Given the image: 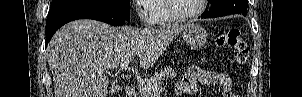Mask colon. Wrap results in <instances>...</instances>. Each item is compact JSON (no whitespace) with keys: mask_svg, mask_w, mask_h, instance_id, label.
<instances>
[{"mask_svg":"<svg viewBox=\"0 0 302 97\" xmlns=\"http://www.w3.org/2000/svg\"><path fill=\"white\" fill-rule=\"evenodd\" d=\"M216 43L220 46H228L233 48L232 61L241 65L248 58V49L246 43L240 36L237 28L226 29L220 33L216 39Z\"/></svg>","mask_w":302,"mask_h":97,"instance_id":"obj_1","label":"colon"}]
</instances>
